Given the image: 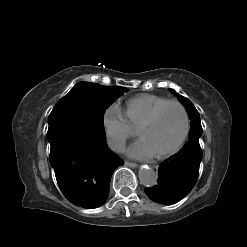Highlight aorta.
Returning a JSON list of instances; mask_svg holds the SVG:
<instances>
[{
	"label": "aorta",
	"instance_id": "aorta-1",
	"mask_svg": "<svg viewBox=\"0 0 247 247\" xmlns=\"http://www.w3.org/2000/svg\"><path fill=\"white\" fill-rule=\"evenodd\" d=\"M157 178L156 172L150 167L139 170V180L144 186H154L157 183Z\"/></svg>",
	"mask_w": 247,
	"mask_h": 247
}]
</instances>
